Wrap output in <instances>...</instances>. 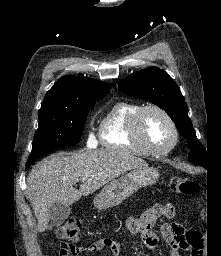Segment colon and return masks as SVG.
Segmentation results:
<instances>
[{"label": "colon", "mask_w": 221, "mask_h": 256, "mask_svg": "<svg viewBox=\"0 0 221 256\" xmlns=\"http://www.w3.org/2000/svg\"><path fill=\"white\" fill-rule=\"evenodd\" d=\"M173 192L184 195H195L199 191L198 184L187 177H173L170 181ZM55 237L61 242V253L75 256L79 253L77 243L81 238L80 221L76 217L68 218L55 229ZM186 248L191 256H203L204 240L200 232L190 230L186 235Z\"/></svg>", "instance_id": "5ec220e1"}]
</instances>
